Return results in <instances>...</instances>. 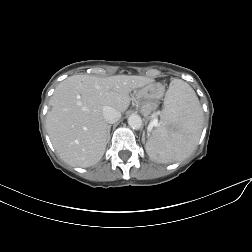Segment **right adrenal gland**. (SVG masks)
I'll return each mask as SVG.
<instances>
[{
	"label": "right adrenal gland",
	"mask_w": 252,
	"mask_h": 252,
	"mask_svg": "<svg viewBox=\"0 0 252 252\" xmlns=\"http://www.w3.org/2000/svg\"><path fill=\"white\" fill-rule=\"evenodd\" d=\"M110 130H111V125L108 126V140L110 138Z\"/></svg>",
	"instance_id": "1"
}]
</instances>
